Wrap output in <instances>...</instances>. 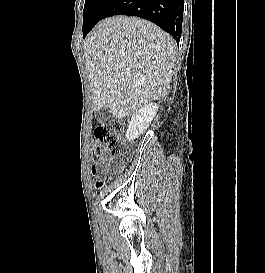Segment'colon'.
I'll return each instance as SVG.
<instances>
[{"mask_svg": "<svg viewBox=\"0 0 265 273\" xmlns=\"http://www.w3.org/2000/svg\"><path fill=\"white\" fill-rule=\"evenodd\" d=\"M121 125L116 122H107L95 129L94 135L97 144L94 148V156L101 159L105 156L117 157L122 155ZM101 183H97L99 188Z\"/></svg>", "mask_w": 265, "mask_h": 273, "instance_id": "5ec220e1", "label": "colon"}]
</instances>
